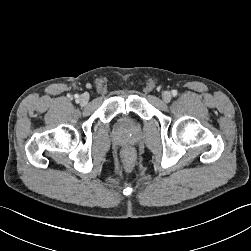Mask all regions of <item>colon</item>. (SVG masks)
<instances>
[{
	"label": "colon",
	"instance_id": "5ec220e1",
	"mask_svg": "<svg viewBox=\"0 0 251 251\" xmlns=\"http://www.w3.org/2000/svg\"><path fill=\"white\" fill-rule=\"evenodd\" d=\"M121 160L124 168L126 170H130L135 162V153L132 149L127 148L123 150L122 155H121Z\"/></svg>",
	"mask_w": 251,
	"mask_h": 251
}]
</instances>
